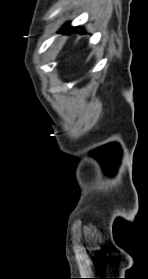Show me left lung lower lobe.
<instances>
[{
  "instance_id": "1",
  "label": "left lung lower lobe",
  "mask_w": 148,
  "mask_h": 279,
  "mask_svg": "<svg viewBox=\"0 0 148 279\" xmlns=\"http://www.w3.org/2000/svg\"><path fill=\"white\" fill-rule=\"evenodd\" d=\"M59 32H63L65 34H71L73 32H83L82 27H71L69 24L65 25Z\"/></svg>"
}]
</instances>
